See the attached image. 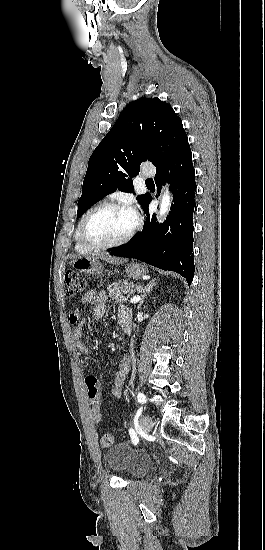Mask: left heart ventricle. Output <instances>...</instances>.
<instances>
[{
	"label": "left heart ventricle",
	"mask_w": 265,
	"mask_h": 550,
	"mask_svg": "<svg viewBox=\"0 0 265 550\" xmlns=\"http://www.w3.org/2000/svg\"><path fill=\"white\" fill-rule=\"evenodd\" d=\"M135 215L123 209L109 208L94 214L85 229L86 236L97 243L123 238L135 225Z\"/></svg>",
	"instance_id": "obj_1"
}]
</instances>
